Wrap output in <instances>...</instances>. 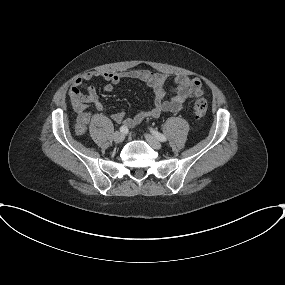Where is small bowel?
<instances>
[{
	"instance_id": "obj_1",
	"label": "small bowel",
	"mask_w": 285,
	"mask_h": 285,
	"mask_svg": "<svg viewBox=\"0 0 285 285\" xmlns=\"http://www.w3.org/2000/svg\"><path fill=\"white\" fill-rule=\"evenodd\" d=\"M97 78H101L107 82L104 86L106 92H111L114 85L125 79L141 80L151 89L154 95V103L150 109L142 110L133 117H126L123 111H118L111 115L112 120L123 124L127 128L134 127L146 118H157L163 112H177L183 109L185 101L195 96L201 89L199 78L176 75L173 77L174 88L172 95L169 96L166 84L171 79L170 75L152 72L148 69H132L120 72H88L77 78L69 90V98L74 110L78 113L77 121L80 125H85L90 120L91 113L88 111L89 105L100 112L106 109L95 89L86 85V82Z\"/></svg>"
}]
</instances>
